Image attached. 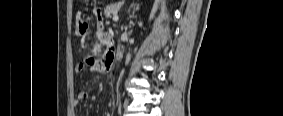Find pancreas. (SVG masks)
<instances>
[{"label": "pancreas", "mask_w": 283, "mask_h": 116, "mask_svg": "<svg viewBox=\"0 0 283 116\" xmlns=\"http://www.w3.org/2000/svg\"><path fill=\"white\" fill-rule=\"evenodd\" d=\"M121 5H122L121 2L108 5V6L105 8V10H104L105 16H106V17H110L111 14L114 15L115 13H117V12L120 10Z\"/></svg>", "instance_id": "cf45deb5"}]
</instances>
